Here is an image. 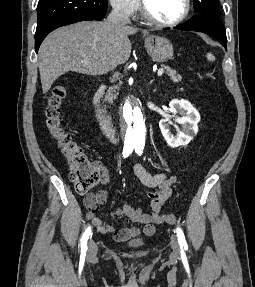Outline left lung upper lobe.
<instances>
[{
	"mask_svg": "<svg viewBox=\"0 0 255 287\" xmlns=\"http://www.w3.org/2000/svg\"><path fill=\"white\" fill-rule=\"evenodd\" d=\"M195 12L199 14H211L220 18L219 0H193Z\"/></svg>",
	"mask_w": 255,
	"mask_h": 287,
	"instance_id": "left-lung-upper-lobe-1",
	"label": "left lung upper lobe"
}]
</instances>
